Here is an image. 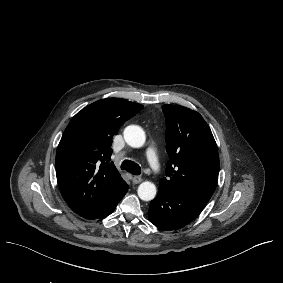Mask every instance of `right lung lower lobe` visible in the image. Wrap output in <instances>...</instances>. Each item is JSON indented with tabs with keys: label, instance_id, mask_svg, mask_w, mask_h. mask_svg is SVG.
Wrapping results in <instances>:
<instances>
[{
	"label": "right lung lower lobe",
	"instance_id": "1",
	"mask_svg": "<svg viewBox=\"0 0 283 283\" xmlns=\"http://www.w3.org/2000/svg\"><path fill=\"white\" fill-rule=\"evenodd\" d=\"M127 190H128V185H127V187L125 188V192H124L123 196L126 194ZM123 196H122L118 201H116L109 209L103 211L102 213H100V214H98V215H96V216H94V217H92V218H87V219L102 218V217H105V216L111 214V213L114 211V209L116 208L117 204H118V203L120 202V200L123 198Z\"/></svg>",
	"mask_w": 283,
	"mask_h": 283
}]
</instances>
